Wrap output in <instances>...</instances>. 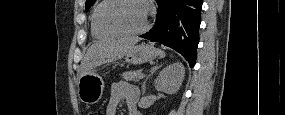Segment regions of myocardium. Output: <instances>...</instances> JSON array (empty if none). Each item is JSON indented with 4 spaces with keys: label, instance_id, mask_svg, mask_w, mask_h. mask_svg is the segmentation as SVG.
Returning a JSON list of instances; mask_svg holds the SVG:
<instances>
[{
    "label": "myocardium",
    "instance_id": "obj_1",
    "mask_svg": "<svg viewBox=\"0 0 285 115\" xmlns=\"http://www.w3.org/2000/svg\"><path fill=\"white\" fill-rule=\"evenodd\" d=\"M120 1H139L140 3H142L144 5L145 11H146V16H145V23L141 29L134 31V32H128V31L121 30L115 26H112V25H110L104 21V18H103L104 9L109 4L117 3ZM151 13H152V9H151V6L147 0H104L100 3V5L98 6V8L96 10L95 19H96L98 26L104 31L116 34L118 36L134 37V36L142 35L148 30L149 25H150Z\"/></svg>",
    "mask_w": 285,
    "mask_h": 115
}]
</instances>
